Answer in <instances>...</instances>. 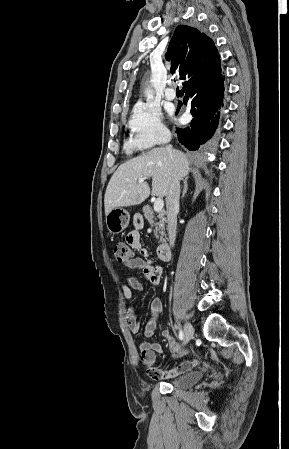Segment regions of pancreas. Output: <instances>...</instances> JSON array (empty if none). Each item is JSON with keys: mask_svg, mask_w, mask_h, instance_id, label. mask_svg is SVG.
I'll return each mask as SVG.
<instances>
[{"mask_svg": "<svg viewBox=\"0 0 289 449\" xmlns=\"http://www.w3.org/2000/svg\"><path fill=\"white\" fill-rule=\"evenodd\" d=\"M143 213H144V217L145 219L150 223H154V220H159L158 222L154 223L155 229H154V234L155 237L157 239H159V242H165V239L163 238V236L165 235V223H166V212L161 210L160 212L157 213V216L155 217V215L153 214L150 206H144L143 208Z\"/></svg>", "mask_w": 289, "mask_h": 449, "instance_id": "1", "label": "pancreas"}]
</instances>
